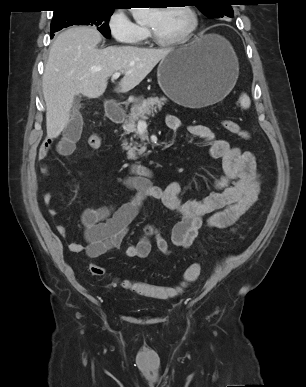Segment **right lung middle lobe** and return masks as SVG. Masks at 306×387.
Instances as JSON below:
<instances>
[{
    "instance_id": "dd1d6c3e",
    "label": "right lung middle lobe",
    "mask_w": 306,
    "mask_h": 387,
    "mask_svg": "<svg viewBox=\"0 0 306 387\" xmlns=\"http://www.w3.org/2000/svg\"><path fill=\"white\" fill-rule=\"evenodd\" d=\"M113 10L112 8L106 7H76L65 9L53 15L51 33L72 25H90L97 27L102 35L109 39L111 35L108 21Z\"/></svg>"
}]
</instances>
